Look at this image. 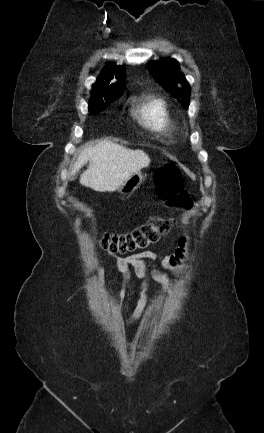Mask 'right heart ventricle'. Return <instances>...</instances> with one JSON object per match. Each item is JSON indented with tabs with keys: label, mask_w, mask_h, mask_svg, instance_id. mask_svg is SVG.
Masks as SVG:
<instances>
[{
	"label": "right heart ventricle",
	"mask_w": 264,
	"mask_h": 433,
	"mask_svg": "<svg viewBox=\"0 0 264 433\" xmlns=\"http://www.w3.org/2000/svg\"><path fill=\"white\" fill-rule=\"evenodd\" d=\"M134 116L146 129L164 137H173L177 130L174 115L160 97L144 95L137 99Z\"/></svg>",
	"instance_id": "obj_1"
}]
</instances>
